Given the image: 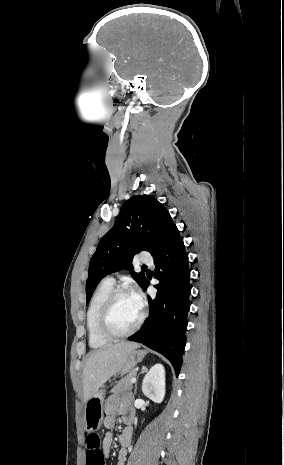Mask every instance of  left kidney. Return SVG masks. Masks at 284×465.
<instances>
[{"label":"left kidney","mask_w":284,"mask_h":465,"mask_svg":"<svg viewBox=\"0 0 284 465\" xmlns=\"http://www.w3.org/2000/svg\"><path fill=\"white\" fill-rule=\"evenodd\" d=\"M142 391L145 397L154 401V403H162L165 397V371L163 365H154L145 375L142 383Z\"/></svg>","instance_id":"1"}]
</instances>
